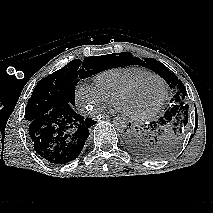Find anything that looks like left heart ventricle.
Returning a JSON list of instances; mask_svg holds the SVG:
<instances>
[{
	"label": "left heart ventricle",
	"instance_id": "obj_1",
	"mask_svg": "<svg viewBox=\"0 0 213 213\" xmlns=\"http://www.w3.org/2000/svg\"><path fill=\"white\" fill-rule=\"evenodd\" d=\"M162 96L163 86L161 82L154 77H148L133 89L121 95L116 103L127 114L141 115L152 110L160 102Z\"/></svg>",
	"mask_w": 213,
	"mask_h": 213
}]
</instances>
